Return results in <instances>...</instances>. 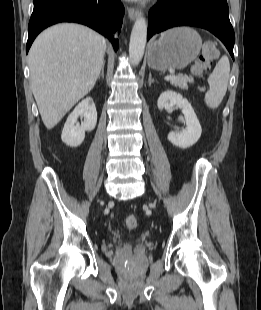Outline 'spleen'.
<instances>
[{
    "label": "spleen",
    "instance_id": "3e777b00",
    "mask_svg": "<svg viewBox=\"0 0 261 310\" xmlns=\"http://www.w3.org/2000/svg\"><path fill=\"white\" fill-rule=\"evenodd\" d=\"M229 73V59L227 56H222L208 77L210 88L205 94L204 101L209 108L215 109L222 102L227 91Z\"/></svg>",
    "mask_w": 261,
    "mask_h": 310
}]
</instances>
